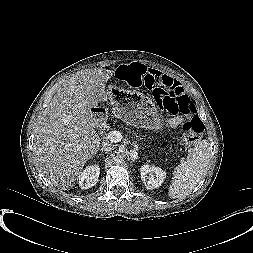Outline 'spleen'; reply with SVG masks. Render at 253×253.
<instances>
[{
  "label": "spleen",
  "mask_w": 253,
  "mask_h": 253,
  "mask_svg": "<svg viewBox=\"0 0 253 253\" xmlns=\"http://www.w3.org/2000/svg\"><path fill=\"white\" fill-rule=\"evenodd\" d=\"M210 161V147L206 140L188 151L186 161H182L173 172L168 195L170 198H184L201 181Z\"/></svg>",
  "instance_id": "spleen-1"
}]
</instances>
